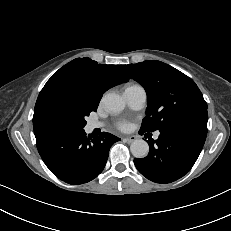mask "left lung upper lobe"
<instances>
[{"instance_id":"5c2ea615","label":"left lung upper lobe","mask_w":231,"mask_h":231,"mask_svg":"<svg viewBox=\"0 0 231 231\" xmlns=\"http://www.w3.org/2000/svg\"><path fill=\"white\" fill-rule=\"evenodd\" d=\"M130 78L140 83L147 93L146 117L143 131L195 122L207 125V104L195 82L173 68L156 60L120 65Z\"/></svg>"}]
</instances>
